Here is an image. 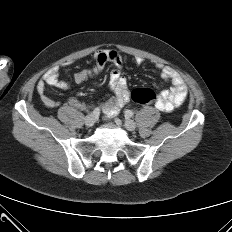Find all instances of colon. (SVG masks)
<instances>
[{
	"mask_svg": "<svg viewBox=\"0 0 232 232\" xmlns=\"http://www.w3.org/2000/svg\"><path fill=\"white\" fill-rule=\"evenodd\" d=\"M155 98V92L151 88L139 87L131 91V99L138 104H151Z\"/></svg>",
	"mask_w": 232,
	"mask_h": 232,
	"instance_id": "obj_1",
	"label": "colon"
}]
</instances>
